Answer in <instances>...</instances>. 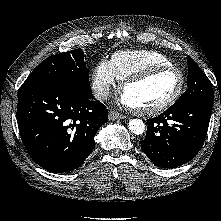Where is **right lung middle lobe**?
<instances>
[{
    "instance_id": "dd1d6c3e",
    "label": "right lung middle lobe",
    "mask_w": 221,
    "mask_h": 221,
    "mask_svg": "<svg viewBox=\"0 0 221 221\" xmlns=\"http://www.w3.org/2000/svg\"><path fill=\"white\" fill-rule=\"evenodd\" d=\"M38 83L66 84L87 96L92 95L88 69L81 49L48 57L33 70L22 86Z\"/></svg>"
}]
</instances>
